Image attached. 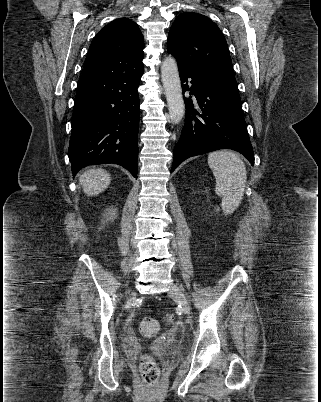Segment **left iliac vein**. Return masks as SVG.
<instances>
[{
	"label": "left iliac vein",
	"mask_w": 321,
	"mask_h": 402,
	"mask_svg": "<svg viewBox=\"0 0 321 402\" xmlns=\"http://www.w3.org/2000/svg\"><path fill=\"white\" fill-rule=\"evenodd\" d=\"M169 296H171L176 302L182 307L183 312L186 315H190L191 308L190 304L183 293V291L175 284H171L168 290Z\"/></svg>",
	"instance_id": "4c4485c4"
}]
</instances>
